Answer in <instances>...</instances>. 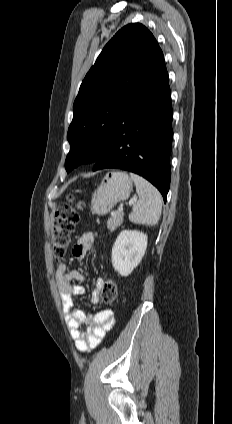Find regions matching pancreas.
<instances>
[{
    "mask_svg": "<svg viewBox=\"0 0 232 424\" xmlns=\"http://www.w3.org/2000/svg\"><path fill=\"white\" fill-rule=\"evenodd\" d=\"M123 215V212H114V215H112L107 221L108 229L114 231L117 227H119L123 222Z\"/></svg>",
    "mask_w": 232,
    "mask_h": 424,
    "instance_id": "cf45deb5",
    "label": "pancreas"
}]
</instances>
